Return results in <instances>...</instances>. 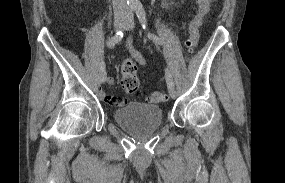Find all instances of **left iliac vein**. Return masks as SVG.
Listing matches in <instances>:
<instances>
[{
  "mask_svg": "<svg viewBox=\"0 0 285 183\" xmlns=\"http://www.w3.org/2000/svg\"><path fill=\"white\" fill-rule=\"evenodd\" d=\"M126 20L125 29L130 31L134 27L133 17L129 15ZM168 91L171 98H176L177 92L173 84H168Z\"/></svg>",
  "mask_w": 285,
  "mask_h": 183,
  "instance_id": "obj_1",
  "label": "left iliac vein"
}]
</instances>
